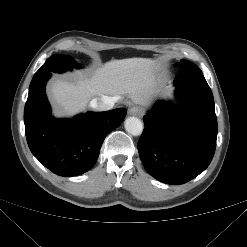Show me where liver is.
Here are the masks:
<instances>
[{"instance_id":"obj_1","label":"liver","mask_w":247,"mask_h":247,"mask_svg":"<svg viewBox=\"0 0 247 247\" xmlns=\"http://www.w3.org/2000/svg\"><path fill=\"white\" fill-rule=\"evenodd\" d=\"M156 61L146 58L112 60L91 75H79L72 81L57 79L50 85L51 99L58 115L72 117L82 111L95 96L124 95L133 103L149 106L159 92Z\"/></svg>"}]
</instances>
